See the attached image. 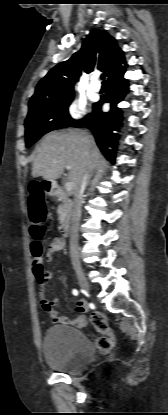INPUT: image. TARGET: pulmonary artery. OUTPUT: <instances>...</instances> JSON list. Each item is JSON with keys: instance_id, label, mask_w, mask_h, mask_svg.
<instances>
[{"instance_id": "pulmonary-artery-1", "label": "pulmonary artery", "mask_w": 168, "mask_h": 415, "mask_svg": "<svg viewBox=\"0 0 168 415\" xmlns=\"http://www.w3.org/2000/svg\"><path fill=\"white\" fill-rule=\"evenodd\" d=\"M91 89L94 92H99L101 90V84L96 77L91 82Z\"/></svg>"}]
</instances>
